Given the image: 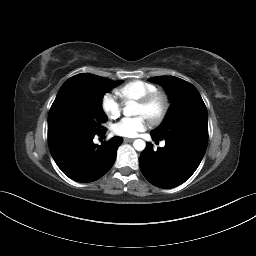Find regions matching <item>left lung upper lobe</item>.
<instances>
[{
    "label": "left lung upper lobe",
    "mask_w": 256,
    "mask_h": 256,
    "mask_svg": "<svg viewBox=\"0 0 256 256\" xmlns=\"http://www.w3.org/2000/svg\"><path fill=\"white\" fill-rule=\"evenodd\" d=\"M149 81L161 84L171 101L166 118L151 135L158 140H184L207 148V109L197 89L174 76L152 77Z\"/></svg>",
    "instance_id": "obj_1"
}]
</instances>
